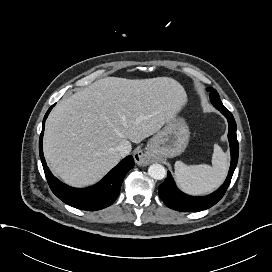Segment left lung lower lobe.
Wrapping results in <instances>:
<instances>
[{"label": "left lung lower lobe", "mask_w": 272, "mask_h": 272, "mask_svg": "<svg viewBox=\"0 0 272 272\" xmlns=\"http://www.w3.org/2000/svg\"><path fill=\"white\" fill-rule=\"evenodd\" d=\"M211 102L214 105V107H216L227 118L229 123L228 139L231 151V164L228 176L223 185L212 194L203 197H193L184 194L183 192L178 190L174 183L173 178L168 172L167 178L159 186V196L162 199V201L171 209L182 212H196L212 207L225 194L230 184L234 170L236 168L239 152L238 141L236 136L237 130L236 122L231 112L224 107L221 100L211 99Z\"/></svg>", "instance_id": "1"}]
</instances>
